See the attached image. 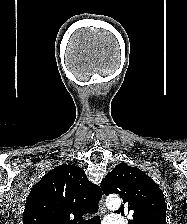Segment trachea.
<instances>
[{
    "label": "trachea",
    "mask_w": 187,
    "mask_h": 224,
    "mask_svg": "<svg viewBox=\"0 0 187 224\" xmlns=\"http://www.w3.org/2000/svg\"><path fill=\"white\" fill-rule=\"evenodd\" d=\"M101 221H100V216L99 215H95L93 216L92 218L86 220V221H83L81 224H100Z\"/></svg>",
    "instance_id": "trachea-1"
}]
</instances>
